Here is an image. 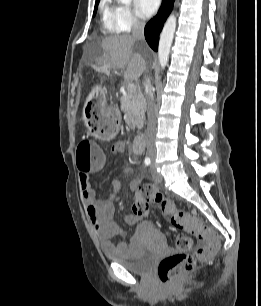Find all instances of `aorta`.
Instances as JSON below:
<instances>
[{"label":"aorta","instance_id":"aorta-1","mask_svg":"<svg viewBox=\"0 0 261 306\" xmlns=\"http://www.w3.org/2000/svg\"><path fill=\"white\" fill-rule=\"evenodd\" d=\"M118 2L122 4H129L131 0H118ZM176 23H177L176 16L172 13L165 22L163 30L160 35V40L158 45V57L162 69H164L168 64L170 48L176 30Z\"/></svg>","mask_w":261,"mask_h":306}]
</instances>
